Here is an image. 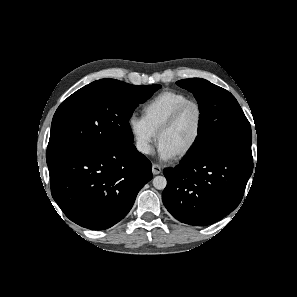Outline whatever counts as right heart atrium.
I'll use <instances>...</instances> for the list:
<instances>
[{
  "mask_svg": "<svg viewBox=\"0 0 297 297\" xmlns=\"http://www.w3.org/2000/svg\"><path fill=\"white\" fill-rule=\"evenodd\" d=\"M127 125L135 149L142 155L150 154L156 139V134L149 127L144 118L137 115H131L128 118Z\"/></svg>",
  "mask_w": 297,
  "mask_h": 297,
  "instance_id": "1",
  "label": "right heart atrium"
}]
</instances>
